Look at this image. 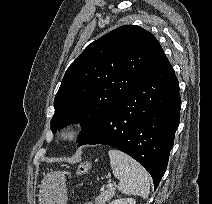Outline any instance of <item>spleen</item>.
<instances>
[{"label": "spleen", "instance_id": "1", "mask_svg": "<svg viewBox=\"0 0 212 204\" xmlns=\"http://www.w3.org/2000/svg\"><path fill=\"white\" fill-rule=\"evenodd\" d=\"M110 165L115 177L119 179L118 190L129 195H139L143 199L150 193L149 177L146 170L127 154L111 149Z\"/></svg>", "mask_w": 212, "mask_h": 204}]
</instances>
